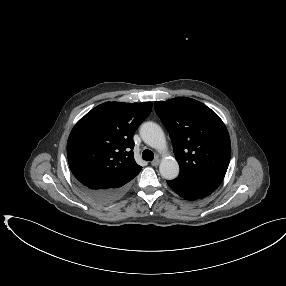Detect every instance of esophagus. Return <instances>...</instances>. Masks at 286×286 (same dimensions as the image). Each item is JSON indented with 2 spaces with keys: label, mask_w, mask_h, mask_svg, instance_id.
Masks as SVG:
<instances>
[{
  "label": "esophagus",
  "mask_w": 286,
  "mask_h": 286,
  "mask_svg": "<svg viewBox=\"0 0 286 286\" xmlns=\"http://www.w3.org/2000/svg\"><path fill=\"white\" fill-rule=\"evenodd\" d=\"M159 163H160V160H159L158 158H156V159H154V160L151 162V165L154 166V167H156V166L159 165Z\"/></svg>",
  "instance_id": "34e87169"
}]
</instances>
